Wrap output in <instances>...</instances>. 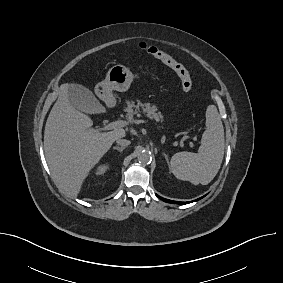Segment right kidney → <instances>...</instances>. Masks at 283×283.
<instances>
[{
  "instance_id": "ca27d5eb",
  "label": "right kidney",
  "mask_w": 283,
  "mask_h": 283,
  "mask_svg": "<svg viewBox=\"0 0 283 283\" xmlns=\"http://www.w3.org/2000/svg\"><path fill=\"white\" fill-rule=\"evenodd\" d=\"M110 166L109 164H101L99 165L96 170H95V174L97 176H101V175H104L108 170H109Z\"/></svg>"
}]
</instances>
